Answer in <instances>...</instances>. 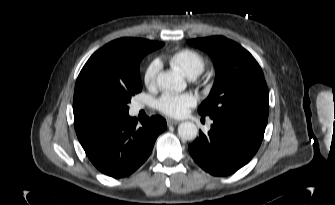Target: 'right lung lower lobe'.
<instances>
[{
    "label": "right lung lower lobe",
    "mask_w": 335,
    "mask_h": 205,
    "mask_svg": "<svg viewBox=\"0 0 335 205\" xmlns=\"http://www.w3.org/2000/svg\"><path fill=\"white\" fill-rule=\"evenodd\" d=\"M137 125L128 114L76 129L85 153L102 173L121 178L138 169L149 157L155 140L166 129L161 116L147 117Z\"/></svg>",
    "instance_id": "1"
}]
</instances>
